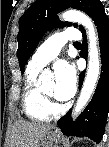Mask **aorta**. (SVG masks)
<instances>
[{
    "mask_svg": "<svg viewBox=\"0 0 109 147\" xmlns=\"http://www.w3.org/2000/svg\"><path fill=\"white\" fill-rule=\"evenodd\" d=\"M61 18L70 22H77L85 27L88 35V69L81 89L80 95L73 110V115L77 116L89 102L100 76V51L98 47V36L95 25L91 18L79 10L65 11ZM43 72L40 79L47 77Z\"/></svg>",
    "mask_w": 109,
    "mask_h": 147,
    "instance_id": "aorta-1",
    "label": "aorta"
}]
</instances>
